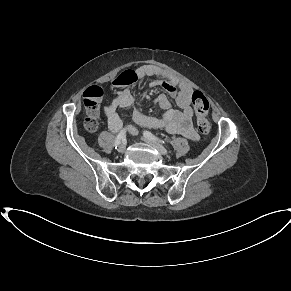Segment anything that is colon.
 Here are the masks:
<instances>
[{"instance_id":"5ec220e1","label":"colon","mask_w":291,"mask_h":291,"mask_svg":"<svg viewBox=\"0 0 291 291\" xmlns=\"http://www.w3.org/2000/svg\"><path fill=\"white\" fill-rule=\"evenodd\" d=\"M103 94V89L98 86L89 87L85 92L84 107L87 113V118L84 122V127L89 132L95 131L98 127V104ZM192 103L196 114L198 130L202 134H208L211 129V124L208 119L210 104L207 97L202 92L195 91L192 94Z\"/></svg>"}]
</instances>
